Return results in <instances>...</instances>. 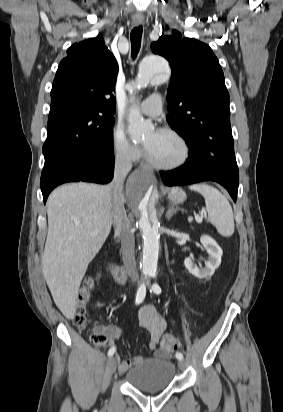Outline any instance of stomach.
<instances>
[{
  "instance_id": "obj_1",
  "label": "stomach",
  "mask_w": 283,
  "mask_h": 412,
  "mask_svg": "<svg viewBox=\"0 0 283 412\" xmlns=\"http://www.w3.org/2000/svg\"><path fill=\"white\" fill-rule=\"evenodd\" d=\"M168 199L172 203H183L186 200V194L181 188L173 187L168 191Z\"/></svg>"
}]
</instances>
